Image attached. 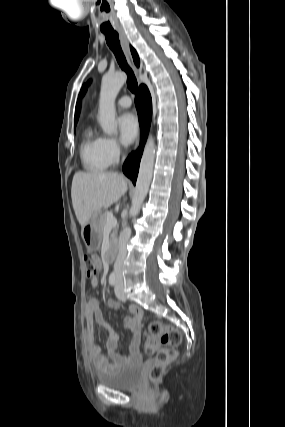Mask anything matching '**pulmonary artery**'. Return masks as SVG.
Returning a JSON list of instances; mask_svg holds the SVG:
<instances>
[{
    "mask_svg": "<svg viewBox=\"0 0 285 427\" xmlns=\"http://www.w3.org/2000/svg\"><path fill=\"white\" fill-rule=\"evenodd\" d=\"M117 104L119 107L128 108L131 106L132 102L128 96H123L118 99Z\"/></svg>",
    "mask_w": 285,
    "mask_h": 427,
    "instance_id": "obj_1",
    "label": "pulmonary artery"
}]
</instances>
